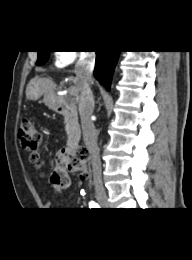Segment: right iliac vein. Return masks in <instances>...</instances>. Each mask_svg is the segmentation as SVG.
Returning <instances> with one entry per match:
<instances>
[{
  "instance_id": "right-iliac-vein-1",
  "label": "right iliac vein",
  "mask_w": 192,
  "mask_h": 260,
  "mask_svg": "<svg viewBox=\"0 0 192 260\" xmlns=\"http://www.w3.org/2000/svg\"><path fill=\"white\" fill-rule=\"evenodd\" d=\"M96 198H97V200H98V202L100 203L101 206H103V207L109 206L108 197H107V194L104 191L96 192Z\"/></svg>"
}]
</instances>
